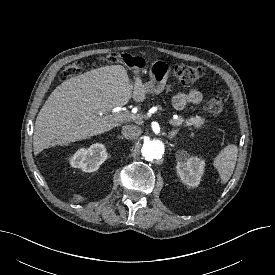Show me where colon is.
<instances>
[{
    "label": "colon",
    "mask_w": 275,
    "mask_h": 275,
    "mask_svg": "<svg viewBox=\"0 0 275 275\" xmlns=\"http://www.w3.org/2000/svg\"><path fill=\"white\" fill-rule=\"evenodd\" d=\"M102 61L108 63H122L128 67L139 64V59L126 53L110 52L106 54ZM81 71V64L73 62L68 65L62 73V78L78 75ZM173 75L181 84L187 85L199 80L204 75V70L200 66L187 64L176 65L173 68ZM205 109L214 116H221L224 112V105L220 97L210 96L205 100Z\"/></svg>",
    "instance_id": "obj_1"
}]
</instances>
